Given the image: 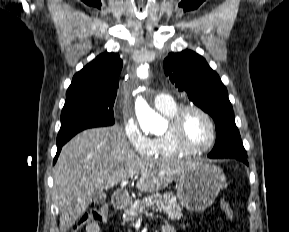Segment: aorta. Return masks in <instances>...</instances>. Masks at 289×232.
I'll list each match as a JSON object with an SVG mask.
<instances>
[{"label":"aorta","mask_w":289,"mask_h":232,"mask_svg":"<svg viewBox=\"0 0 289 232\" xmlns=\"http://www.w3.org/2000/svg\"><path fill=\"white\" fill-rule=\"evenodd\" d=\"M136 113L143 131L157 133L164 130L165 120L142 98L137 101Z\"/></svg>","instance_id":"obj_1"}]
</instances>
